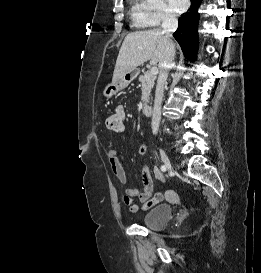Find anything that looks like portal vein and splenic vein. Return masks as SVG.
I'll return each instance as SVG.
<instances>
[{"label": "portal vein and splenic vein", "mask_w": 261, "mask_h": 273, "mask_svg": "<svg viewBox=\"0 0 261 273\" xmlns=\"http://www.w3.org/2000/svg\"><path fill=\"white\" fill-rule=\"evenodd\" d=\"M150 73L151 75H154L156 76L158 74V68L156 66H153L151 69H150Z\"/></svg>", "instance_id": "18ae733b"}]
</instances>
